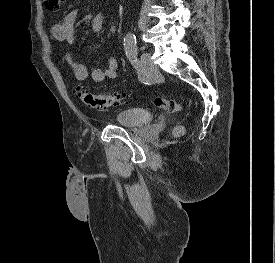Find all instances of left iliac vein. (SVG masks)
<instances>
[{"label":"left iliac vein","mask_w":275,"mask_h":263,"mask_svg":"<svg viewBox=\"0 0 275 263\" xmlns=\"http://www.w3.org/2000/svg\"><path fill=\"white\" fill-rule=\"evenodd\" d=\"M140 70L145 75H153L157 71V66L154 64L150 53H142L140 59Z\"/></svg>","instance_id":"4c4485c4"}]
</instances>
